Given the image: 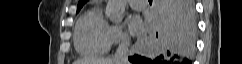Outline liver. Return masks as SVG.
Returning a JSON list of instances; mask_svg holds the SVG:
<instances>
[{
  "mask_svg": "<svg viewBox=\"0 0 242 64\" xmlns=\"http://www.w3.org/2000/svg\"><path fill=\"white\" fill-rule=\"evenodd\" d=\"M73 64H116V62L111 58H98V59H80L75 61Z\"/></svg>",
  "mask_w": 242,
  "mask_h": 64,
  "instance_id": "liver-1",
  "label": "liver"
}]
</instances>
